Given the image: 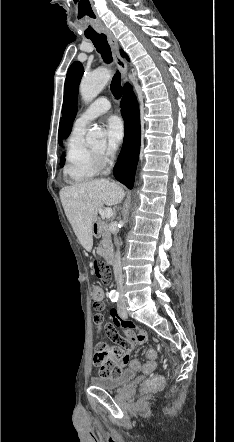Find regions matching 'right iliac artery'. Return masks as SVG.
I'll list each match as a JSON object with an SVG mask.
<instances>
[{"label":"right iliac artery","mask_w":234,"mask_h":442,"mask_svg":"<svg viewBox=\"0 0 234 442\" xmlns=\"http://www.w3.org/2000/svg\"><path fill=\"white\" fill-rule=\"evenodd\" d=\"M118 297H119V295L116 292H110V294H109V298L112 302H117Z\"/></svg>","instance_id":"obj_1"}]
</instances>
